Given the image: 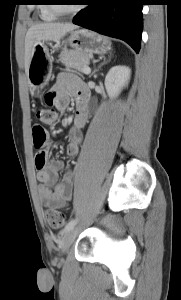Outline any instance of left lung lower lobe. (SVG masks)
Here are the masks:
<instances>
[{
	"mask_svg": "<svg viewBox=\"0 0 181 300\" xmlns=\"http://www.w3.org/2000/svg\"><path fill=\"white\" fill-rule=\"evenodd\" d=\"M144 0H88V6L74 17L73 23L127 42L140 49Z\"/></svg>",
	"mask_w": 181,
	"mask_h": 300,
	"instance_id": "left-lung-lower-lobe-1",
	"label": "left lung lower lobe"
}]
</instances>
